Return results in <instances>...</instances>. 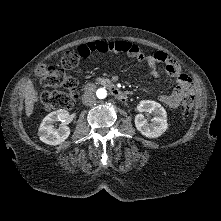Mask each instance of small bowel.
<instances>
[{
	"mask_svg": "<svg viewBox=\"0 0 221 221\" xmlns=\"http://www.w3.org/2000/svg\"><path fill=\"white\" fill-rule=\"evenodd\" d=\"M78 53L82 58H87L93 53L126 54L128 57L133 58L138 62H145L148 66L150 75L155 79H159L160 73L158 66L159 64H163L166 73L175 80L176 87L171 94L160 95L159 101L168 107L176 108L186 98L193 97V87L188 76L182 73L180 66L176 61L162 51L145 55L136 44L129 41L95 40L81 44L78 48Z\"/></svg>",
	"mask_w": 221,
	"mask_h": 221,
	"instance_id": "1",
	"label": "small bowel"
}]
</instances>
